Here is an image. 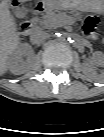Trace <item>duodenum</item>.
<instances>
[{"label":"duodenum","mask_w":104,"mask_h":137,"mask_svg":"<svg viewBox=\"0 0 104 137\" xmlns=\"http://www.w3.org/2000/svg\"><path fill=\"white\" fill-rule=\"evenodd\" d=\"M47 10L48 8L46 6H44L43 4H38L33 10V16L36 17L37 15ZM33 27H34L33 21H25L21 25V31L24 35H29L32 32Z\"/></svg>","instance_id":"410a0bca"}]
</instances>
